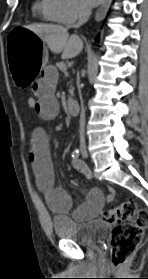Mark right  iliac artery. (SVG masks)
Returning a JSON list of instances; mask_svg holds the SVG:
<instances>
[{"mask_svg":"<svg viewBox=\"0 0 148 279\" xmlns=\"http://www.w3.org/2000/svg\"><path fill=\"white\" fill-rule=\"evenodd\" d=\"M78 156H79V150L76 149V150H74V152L72 153V157H73V158H77Z\"/></svg>","mask_w":148,"mask_h":279,"instance_id":"right-iliac-artery-1","label":"right iliac artery"}]
</instances>
